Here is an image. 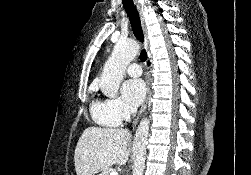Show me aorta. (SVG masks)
<instances>
[{
	"label": "aorta",
	"mask_w": 251,
	"mask_h": 175,
	"mask_svg": "<svg viewBox=\"0 0 251 175\" xmlns=\"http://www.w3.org/2000/svg\"><path fill=\"white\" fill-rule=\"evenodd\" d=\"M139 52L137 42L115 44L111 58L107 60L101 74L99 88L102 93L114 97L125 76V70ZM149 133V119H141L133 141V175H143L145 169L146 141Z\"/></svg>",
	"instance_id": "762f6f07"
}]
</instances>
